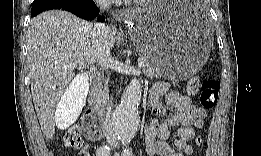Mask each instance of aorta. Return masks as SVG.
I'll return each mask as SVG.
<instances>
[{"label":"aorta","mask_w":261,"mask_h":156,"mask_svg":"<svg viewBox=\"0 0 261 156\" xmlns=\"http://www.w3.org/2000/svg\"><path fill=\"white\" fill-rule=\"evenodd\" d=\"M141 83L133 78L124 92L120 104L112 115L115 134L123 142L130 141L139 128V104L141 101Z\"/></svg>","instance_id":"762f6f07"}]
</instances>
